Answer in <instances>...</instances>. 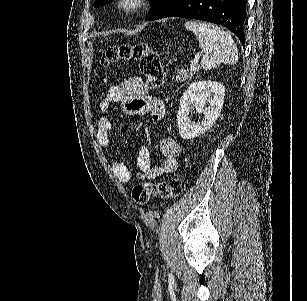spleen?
<instances>
[{
    "label": "spleen",
    "mask_w": 307,
    "mask_h": 301,
    "mask_svg": "<svg viewBox=\"0 0 307 301\" xmlns=\"http://www.w3.org/2000/svg\"><path fill=\"white\" fill-rule=\"evenodd\" d=\"M185 26L187 30H192L196 34L199 46L204 50L200 62L202 70H211L221 62L224 64L238 62L237 46L223 28L210 22H195V20H187Z\"/></svg>",
    "instance_id": "obj_1"
}]
</instances>
